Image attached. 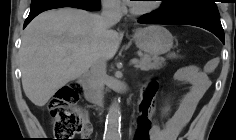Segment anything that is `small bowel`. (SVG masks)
I'll return each instance as SVG.
<instances>
[{"label": "small bowel", "instance_id": "small-bowel-1", "mask_svg": "<svg viewBox=\"0 0 236 140\" xmlns=\"http://www.w3.org/2000/svg\"><path fill=\"white\" fill-rule=\"evenodd\" d=\"M213 69V63H209L204 69L195 65H187L179 68L175 73L177 81L189 85V90L180 98L173 114L162 126L153 125L150 131V140H179L178 136L190 122L196 107L209 89L211 82L208 78ZM93 127L86 120L81 132L82 140L91 136Z\"/></svg>", "mask_w": 236, "mask_h": 140}]
</instances>
